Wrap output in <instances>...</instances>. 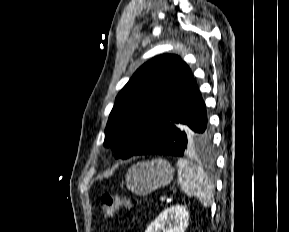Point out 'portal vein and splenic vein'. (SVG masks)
<instances>
[{
	"label": "portal vein and splenic vein",
	"instance_id": "1",
	"mask_svg": "<svg viewBox=\"0 0 289 232\" xmlns=\"http://www.w3.org/2000/svg\"><path fill=\"white\" fill-rule=\"evenodd\" d=\"M165 200H166V196H161V197H160V201H161V202H165Z\"/></svg>",
	"mask_w": 289,
	"mask_h": 232
}]
</instances>
